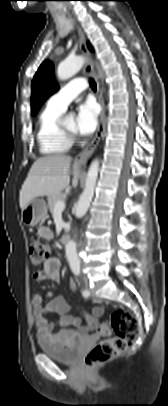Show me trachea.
I'll return each mask as SVG.
<instances>
[{"mask_svg":"<svg viewBox=\"0 0 168 406\" xmlns=\"http://www.w3.org/2000/svg\"><path fill=\"white\" fill-rule=\"evenodd\" d=\"M89 83H90V87L92 88V90L96 91L95 81L91 78V79H89Z\"/></svg>","mask_w":168,"mask_h":406,"instance_id":"obj_1","label":"trachea"}]
</instances>
